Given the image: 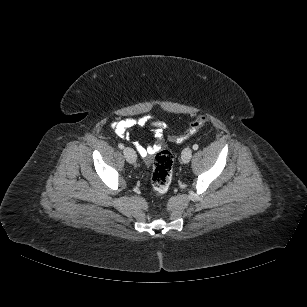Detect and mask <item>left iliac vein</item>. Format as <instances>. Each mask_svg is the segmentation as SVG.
Segmentation results:
<instances>
[{
    "instance_id": "4c4485c4",
    "label": "left iliac vein",
    "mask_w": 307,
    "mask_h": 307,
    "mask_svg": "<svg viewBox=\"0 0 307 307\" xmlns=\"http://www.w3.org/2000/svg\"><path fill=\"white\" fill-rule=\"evenodd\" d=\"M191 157H192V150H191V148H189V147L185 148L182 151V155H181L182 161L184 163H188L191 160Z\"/></svg>"
}]
</instances>
